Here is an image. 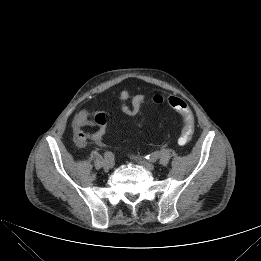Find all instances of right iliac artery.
<instances>
[{
  "instance_id": "1",
  "label": "right iliac artery",
  "mask_w": 261,
  "mask_h": 261,
  "mask_svg": "<svg viewBox=\"0 0 261 261\" xmlns=\"http://www.w3.org/2000/svg\"><path fill=\"white\" fill-rule=\"evenodd\" d=\"M103 156H104V159H105L106 161L111 162V163H112V162L114 161V159H115L114 154H113L112 152H110V151H106Z\"/></svg>"
}]
</instances>
